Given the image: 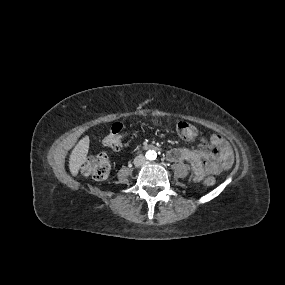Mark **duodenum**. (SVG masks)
<instances>
[{"label":"duodenum","instance_id":"410a0bca","mask_svg":"<svg viewBox=\"0 0 285 285\" xmlns=\"http://www.w3.org/2000/svg\"><path fill=\"white\" fill-rule=\"evenodd\" d=\"M149 147H150L149 145H144V146H143V148H149Z\"/></svg>","mask_w":285,"mask_h":285}]
</instances>
